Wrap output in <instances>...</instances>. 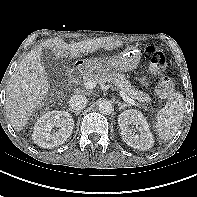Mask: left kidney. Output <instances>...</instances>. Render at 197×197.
Returning <instances> with one entry per match:
<instances>
[{"label": "left kidney", "instance_id": "5707ae66", "mask_svg": "<svg viewBox=\"0 0 197 197\" xmlns=\"http://www.w3.org/2000/svg\"><path fill=\"white\" fill-rule=\"evenodd\" d=\"M118 123L122 139L127 145L139 150H147L153 146L154 139L149 124L141 112L134 109L126 110L119 115ZM130 125H135L140 135L135 134Z\"/></svg>", "mask_w": 197, "mask_h": 197}]
</instances>
